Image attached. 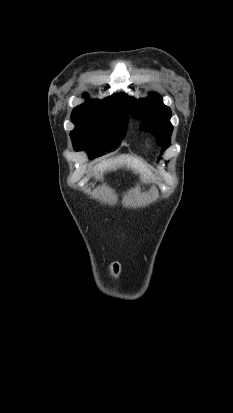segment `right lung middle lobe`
<instances>
[{"label":"right lung middle lobe","mask_w":233,"mask_h":413,"mask_svg":"<svg viewBox=\"0 0 233 413\" xmlns=\"http://www.w3.org/2000/svg\"><path fill=\"white\" fill-rule=\"evenodd\" d=\"M128 110L122 104L85 102L73 109L75 129L70 136L76 151L87 150L89 158L104 155L124 138Z\"/></svg>","instance_id":"dd1d6c3e"}]
</instances>
